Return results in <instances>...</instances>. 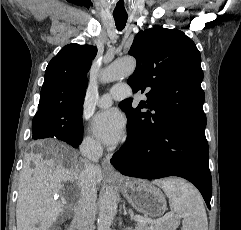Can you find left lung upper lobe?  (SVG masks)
<instances>
[{"mask_svg": "<svg viewBox=\"0 0 241 230\" xmlns=\"http://www.w3.org/2000/svg\"><path fill=\"white\" fill-rule=\"evenodd\" d=\"M129 54L136 58L137 66L128 84L134 92H146L148 100L136 109L131 99L120 103L128 121H137L148 135L169 125L205 129L201 55L189 37L175 29H147L136 35Z\"/></svg>", "mask_w": 241, "mask_h": 230, "instance_id": "obj_1", "label": "left lung upper lobe"}]
</instances>
